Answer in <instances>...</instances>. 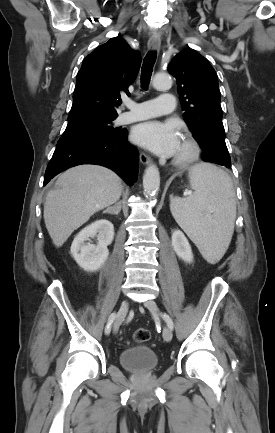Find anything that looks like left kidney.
<instances>
[{
  "instance_id": "obj_1",
  "label": "left kidney",
  "mask_w": 275,
  "mask_h": 433,
  "mask_svg": "<svg viewBox=\"0 0 275 433\" xmlns=\"http://www.w3.org/2000/svg\"><path fill=\"white\" fill-rule=\"evenodd\" d=\"M172 246L179 258L188 263L193 261L191 246L182 231L176 230L173 232Z\"/></svg>"
}]
</instances>
